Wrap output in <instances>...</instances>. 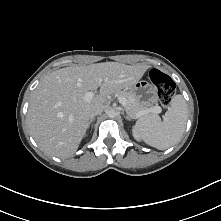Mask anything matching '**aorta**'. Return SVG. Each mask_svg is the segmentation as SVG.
Listing matches in <instances>:
<instances>
[{
  "label": "aorta",
  "mask_w": 221,
  "mask_h": 221,
  "mask_svg": "<svg viewBox=\"0 0 221 221\" xmlns=\"http://www.w3.org/2000/svg\"><path fill=\"white\" fill-rule=\"evenodd\" d=\"M108 117L115 118L117 116V112L114 109H110L107 112Z\"/></svg>",
  "instance_id": "762f6f07"
}]
</instances>
